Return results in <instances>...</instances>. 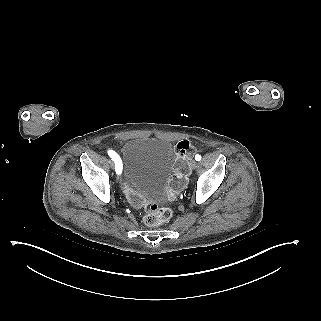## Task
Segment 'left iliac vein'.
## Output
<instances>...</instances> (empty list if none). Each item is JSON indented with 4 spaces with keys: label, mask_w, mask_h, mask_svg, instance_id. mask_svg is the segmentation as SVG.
<instances>
[{
    "label": "left iliac vein",
    "mask_w": 321,
    "mask_h": 321,
    "mask_svg": "<svg viewBox=\"0 0 321 321\" xmlns=\"http://www.w3.org/2000/svg\"><path fill=\"white\" fill-rule=\"evenodd\" d=\"M190 165H191V168H192V169H196L198 163H197L195 160H192Z\"/></svg>",
    "instance_id": "left-iliac-vein-1"
}]
</instances>
